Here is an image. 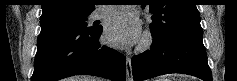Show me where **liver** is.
Instances as JSON below:
<instances>
[{"mask_svg":"<svg viewBox=\"0 0 237 81\" xmlns=\"http://www.w3.org/2000/svg\"><path fill=\"white\" fill-rule=\"evenodd\" d=\"M68 81H101V78L88 75H79L68 78Z\"/></svg>","mask_w":237,"mask_h":81,"instance_id":"6515ba94","label":"liver"}]
</instances>
